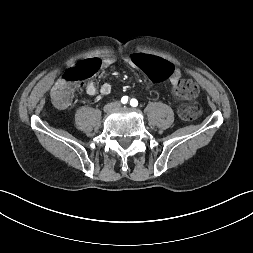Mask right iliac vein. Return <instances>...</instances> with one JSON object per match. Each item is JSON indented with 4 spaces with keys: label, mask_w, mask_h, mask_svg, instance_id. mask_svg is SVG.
<instances>
[{
    "label": "right iliac vein",
    "mask_w": 253,
    "mask_h": 253,
    "mask_svg": "<svg viewBox=\"0 0 253 253\" xmlns=\"http://www.w3.org/2000/svg\"><path fill=\"white\" fill-rule=\"evenodd\" d=\"M115 108H116V104L115 103H110V104L105 105L104 111L106 113H109V112L113 111Z\"/></svg>",
    "instance_id": "right-iliac-vein-1"
}]
</instances>
